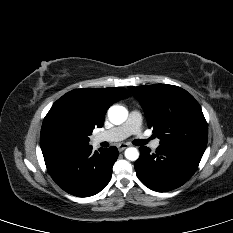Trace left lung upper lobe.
I'll use <instances>...</instances> for the list:
<instances>
[{"label":"left lung upper lobe","mask_w":233,"mask_h":233,"mask_svg":"<svg viewBox=\"0 0 233 233\" xmlns=\"http://www.w3.org/2000/svg\"><path fill=\"white\" fill-rule=\"evenodd\" d=\"M140 102L148 126L160 145H199L206 147L207 122L201 107L186 90L167 84L128 87Z\"/></svg>","instance_id":"obj_1"}]
</instances>
